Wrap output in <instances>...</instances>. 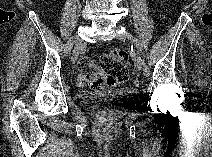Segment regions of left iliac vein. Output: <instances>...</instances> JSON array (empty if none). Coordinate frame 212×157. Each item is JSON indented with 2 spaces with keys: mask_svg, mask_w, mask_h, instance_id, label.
Wrapping results in <instances>:
<instances>
[{
  "mask_svg": "<svg viewBox=\"0 0 212 157\" xmlns=\"http://www.w3.org/2000/svg\"><path fill=\"white\" fill-rule=\"evenodd\" d=\"M117 37H118V39L123 40V41H131V42H133V40H134L133 35L131 33H129V32L118 34ZM136 63H137V66H138L139 70H141V71L143 70L144 75H145L143 63H142V60H141L140 57H136Z\"/></svg>",
  "mask_w": 212,
  "mask_h": 157,
  "instance_id": "1",
  "label": "left iliac vein"
}]
</instances>
